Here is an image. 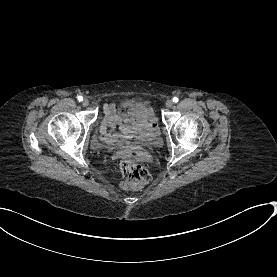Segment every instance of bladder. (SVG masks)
<instances>
[{
	"instance_id": "obj_1",
	"label": "bladder",
	"mask_w": 277,
	"mask_h": 277,
	"mask_svg": "<svg viewBox=\"0 0 277 277\" xmlns=\"http://www.w3.org/2000/svg\"><path fill=\"white\" fill-rule=\"evenodd\" d=\"M145 135H146L147 141H151L159 138V135H160L159 126H153L152 128H148L145 131Z\"/></svg>"
}]
</instances>
